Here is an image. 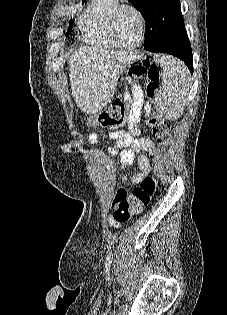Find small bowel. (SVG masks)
Listing matches in <instances>:
<instances>
[{
	"instance_id": "c3829d8e",
	"label": "small bowel",
	"mask_w": 227,
	"mask_h": 315,
	"mask_svg": "<svg viewBox=\"0 0 227 315\" xmlns=\"http://www.w3.org/2000/svg\"><path fill=\"white\" fill-rule=\"evenodd\" d=\"M143 103V94L138 87L134 88V102H133V114L129 119L128 126L129 131L123 129H116L110 132L109 137L116 141V145L109 149V153L112 156H119L120 167L122 169L131 165L135 159V154L143 151H148L151 156L156 154V146L147 138H135L139 133L137 123L139 121V115L141 106ZM88 144L94 147L98 142V135L92 133L87 138ZM138 163L141 169L140 173H137L131 177L124 176L123 181L130 184L141 183L150 171V162L147 156L140 154L138 156ZM111 225L118 227L121 223L115 217L110 221Z\"/></svg>"
}]
</instances>
